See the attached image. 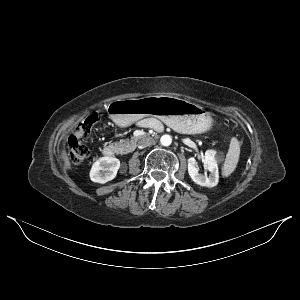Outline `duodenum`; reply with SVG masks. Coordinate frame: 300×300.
Instances as JSON below:
<instances>
[{
  "mask_svg": "<svg viewBox=\"0 0 300 300\" xmlns=\"http://www.w3.org/2000/svg\"><path fill=\"white\" fill-rule=\"evenodd\" d=\"M102 153L107 158H114L117 154V148L113 145H106L103 147Z\"/></svg>",
  "mask_w": 300,
  "mask_h": 300,
  "instance_id": "duodenum-1",
  "label": "duodenum"
}]
</instances>
